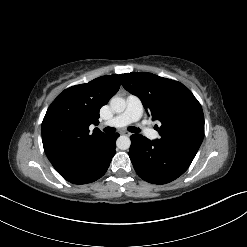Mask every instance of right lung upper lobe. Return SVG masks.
Masks as SVG:
<instances>
[{
  "instance_id": "right-lung-upper-lobe-1",
  "label": "right lung upper lobe",
  "mask_w": 247,
  "mask_h": 247,
  "mask_svg": "<svg viewBox=\"0 0 247 247\" xmlns=\"http://www.w3.org/2000/svg\"><path fill=\"white\" fill-rule=\"evenodd\" d=\"M120 87V76H102L65 89L50 105L42 122L44 151L53 164L75 158L105 134L89 126L99 123V110Z\"/></svg>"
}]
</instances>
